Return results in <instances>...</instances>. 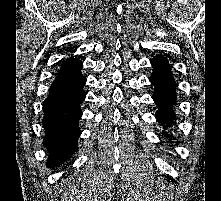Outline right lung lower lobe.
I'll use <instances>...</instances> for the list:
<instances>
[{
    "mask_svg": "<svg viewBox=\"0 0 221 201\" xmlns=\"http://www.w3.org/2000/svg\"><path fill=\"white\" fill-rule=\"evenodd\" d=\"M82 66L79 60H66L43 103V144L50 151L47 160L49 168L59 165L77 151V139L81 134L78 127L82 116L80 104L86 97L83 92L86 79L81 73Z\"/></svg>",
    "mask_w": 221,
    "mask_h": 201,
    "instance_id": "98d812e1",
    "label": "right lung lower lobe"
}]
</instances>
